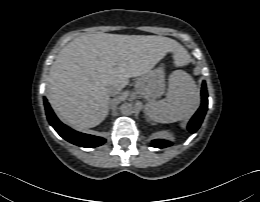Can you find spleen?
Returning a JSON list of instances; mask_svg holds the SVG:
<instances>
[{"instance_id": "3e777b00", "label": "spleen", "mask_w": 260, "mask_h": 202, "mask_svg": "<svg viewBox=\"0 0 260 202\" xmlns=\"http://www.w3.org/2000/svg\"><path fill=\"white\" fill-rule=\"evenodd\" d=\"M198 94L193 78L185 71L177 70L169 76L166 99L148 102L145 110L155 122H176L192 112L198 101Z\"/></svg>"}]
</instances>
